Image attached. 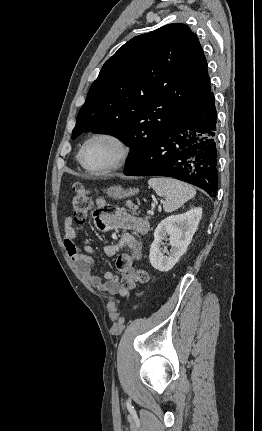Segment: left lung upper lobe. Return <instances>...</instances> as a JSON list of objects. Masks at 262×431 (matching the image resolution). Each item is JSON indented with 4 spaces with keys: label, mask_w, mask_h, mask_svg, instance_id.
Masks as SVG:
<instances>
[{
    "label": "left lung upper lobe",
    "mask_w": 262,
    "mask_h": 431,
    "mask_svg": "<svg viewBox=\"0 0 262 431\" xmlns=\"http://www.w3.org/2000/svg\"><path fill=\"white\" fill-rule=\"evenodd\" d=\"M197 36L174 23L134 37L103 65L72 132L116 136L131 148L127 169L210 93Z\"/></svg>",
    "instance_id": "1"
}]
</instances>
